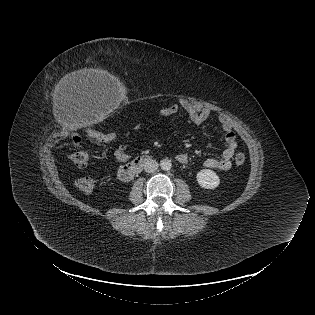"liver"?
<instances>
[{"instance_id":"obj_1","label":"liver","mask_w":315,"mask_h":315,"mask_svg":"<svg viewBox=\"0 0 315 315\" xmlns=\"http://www.w3.org/2000/svg\"><path fill=\"white\" fill-rule=\"evenodd\" d=\"M88 83L119 84L118 78L105 70L84 68L65 75L60 82V87L67 88L70 85L77 86Z\"/></svg>"}]
</instances>
